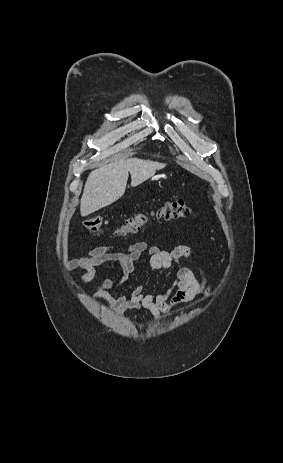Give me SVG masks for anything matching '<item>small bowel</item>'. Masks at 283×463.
I'll return each mask as SVG.
<instances>
[{"instance_id":"c3829d8e","label":"small bowel","mask_w":283,"mask_h":463,"mask_svg":"<svg viewBox=\"0 0 283 463\" xmlns=\"http://www.w3.org/2000/svg\"><path fill=\"white\" fill-rule=\"evenodd\" d=\"M144 256L148 257V266L152 271L173 270L169 284L158 292L147 291L150 276H143L135 267V263ZM191 257L192 251L186 245H178L168 252L157 246H150L146 241H138L126 247H95L87 256L70 259L67 269L85 270L81 283L86 284L95 275L96 266L108 262L119 264L122 276L118 279L102 280L95 293V299L108 301L111 308L119 314L128 310H146L153 318L163 319L177 306L186 304L200 295H206L211 290L202 270V279H198L191 269L181 265L182 259ZM134 275L140 278L139 285L133 288L126 286L127 280ZM112 289H119L120 294L112 296L109 293Z\"/></svg>"}]
</instances>
